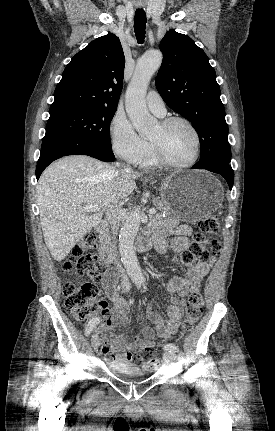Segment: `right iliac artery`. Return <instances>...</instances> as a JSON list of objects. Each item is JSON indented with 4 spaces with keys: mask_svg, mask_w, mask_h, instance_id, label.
<instances>
[{
    "mask_svg": "<svg viewBox=\"0 0 275 431\" xmlns=\"http://www.w3.org/2000/svg\"><path fill=\"white\" fill-rule=\"evenodd\" d=\"M99 319L98 318H92L86 325L85 327V333L86 335H89L93 329L95 328V326L98 324Z\"/></svg>",
    "mask_w": 275,
    "mask_h": 431,
    "instance_id": "obj_1",
    "label": "right iliac artery"
}]
</instances>
